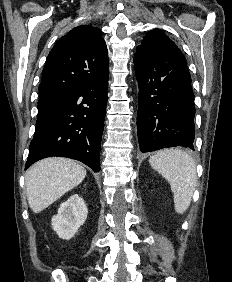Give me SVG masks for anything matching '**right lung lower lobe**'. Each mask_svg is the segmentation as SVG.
<instances>
[{"mask_svg":"<svg viewBox=\"0 0 232 282\" xmlns=\"http://www.w3.org/2000/svg\"><path fill=\"white\" fill-rule=\"evenodd\" d=\"M108 76L71 88L37 118L25 169L40 159L61 156L100 171Z\"/></svg>","mask_w":232,"mask_h":282,"instance_id":"98d812e1","label":"right lung lower lobe"}]
</instances>
